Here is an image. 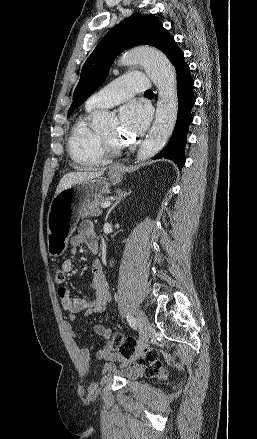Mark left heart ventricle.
I'll return each instance as SVG.
<instances>
[{
  "instance_id": "left-heart-ventricle-1",
  "label": "left heart ventricle",
  "mask_w": 257,
  "mask_h": 439,
  "mask_svg": "<svg viewBox=\"0 0 257 439\" xmlns=\"http://www.w3.org/2000/svg\"><path fill=\"white\" fill-rule=\"evenodd\" d=\"M103 136L109 140H116L117 127L110 129L108 132L104 133Z\"/></svg>"
}]
</instances>
